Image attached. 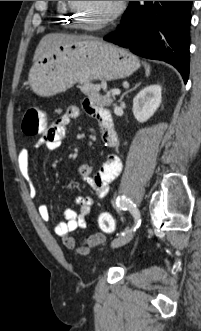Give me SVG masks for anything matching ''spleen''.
Returning <instances> with one entry per match:
<instances>
[{"instance_id":"3e777b00","label":"spleen","mask_w":201,"mask_h":331,"mask_svg":"<svg viewBox=\"0 0 201 331\" xmlns=\"http://www.w3.org/2000/svg\"><path fill=\"white\" fill-rule=\"evenodd\" d=\"M146 70V76L150 75V65H148L146 62H143Z\"/></svg>"}]
</instances>
